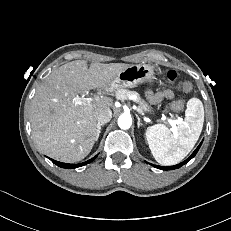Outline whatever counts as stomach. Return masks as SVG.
Returning a JSON list of instances; mask_svg holds the SVG:
<instances>
[{
    "label": "stomach",
    "instance_id": "1",
    "mask_svg": "<svg viewBox=\"0 0 231 231\" xmlns=\"http://www.w3.org/2000/svg\"><path fill=\"white\" fill-rule=\"evenodd\" d=\"M154 70L148 64L129 65L123 69L113 80L114 90L116 88H133L139 84L151 82ZM140 107L149 115H154L152 107L143 99H139Z\"/></svg>",
    "mask_w": 231,
    "mask_h": 231
}]
</instances>
